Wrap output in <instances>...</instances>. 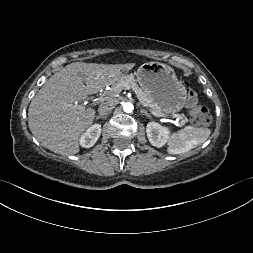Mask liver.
Segmentation results:
<instances>
[{"label":"liver","mask_w":253,"mask_h":253,"mask_svg":"<svg viewBox=\"0 0 253 253\" xmlns=\"http://www.w3.org/2000/svg\"><path fill=\"white\" fill-rule=\"evenodd\" d=\"M129 65L74 62L52 75L32 99L28 126L44 147L54 153L79 152V140L95 117V110L78 102L115 84Z\"/></svg>","instance_id":"obj_1"}]
</instances>
